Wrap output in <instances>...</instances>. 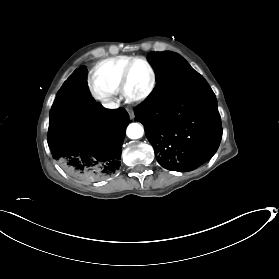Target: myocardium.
<instances>
[{"label":"myocardium","mask_w":279,"mask_h":279,"mask_svg":"<svg viewBox=\"0 0 279 279\" xmlns=\"http://www.w3.org/2000/svg\"><path fill=\"white\" fill-rule=\"evenodd\" d=\"M135 62H142L144 63L147 68L149 69L150 75H151V81L149 87L140 95H132L128 91V77L129 72L132 67V65ZM157 85V75L156 71L153 67V65L144 57L142 56H135L132 57L124 66L121 76H120V88L119 93L123 96V98L129 102H141L146 100L151 96V94L154 92Z\"/></svg>","instance_id":"1"}]
</instances>
